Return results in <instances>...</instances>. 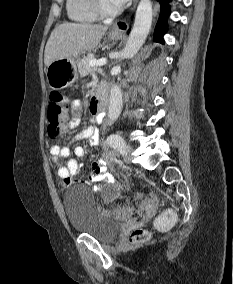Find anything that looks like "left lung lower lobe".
<instances>
[{"label": "left lung lower lobe", "instance_id": "1", "mask_svg": "<svg viewBox=\"0 0 233 284\" xmlns=\"http://www.w3.org/2000/svg\"><path fill=\"white\" fill-rule=\"evenodd\" d=\"M160 2V17L155 28L154 41L164 44L163 35L167 30V17L170 12L169 2L171 0H158Z\"/></svg>", "mask_w": 233, "mask_h": 284}]
</instances>
